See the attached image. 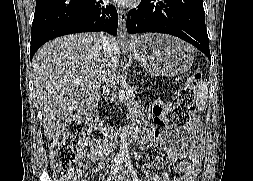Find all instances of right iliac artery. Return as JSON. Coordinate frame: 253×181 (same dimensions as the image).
<instances>
[{
  "label": "right iliac artery",
  "mask_w": 253,
  "mask_h": 181,
  "mask_svg": "<svg viewBox=\"0 0 253 181\" xmlns=\"http://www.w3.org/2000/svg\"><path fill=\"white\" fill-rule=\"evenodd\" d=\"M117 171H118V168L114 169L113 175H110V176L108 177L107 181H113L114 176H115V174L117 173Z\"/></svg>",
  "instance_id": "82829eb1"
}]
</instances>
